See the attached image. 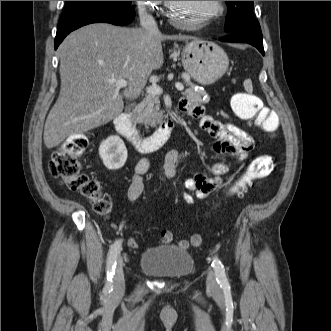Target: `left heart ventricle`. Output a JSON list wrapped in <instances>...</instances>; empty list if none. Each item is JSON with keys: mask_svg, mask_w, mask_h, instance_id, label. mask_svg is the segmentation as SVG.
I'll return each instance as SVG.
<instances>
[{"mask_svg": "<svg viewBox=\"0 0 331 331\" xmlns=\"http://www.w3.org/2000/svg\"><path fill=\"white\" fill-rule=\"evenodd\" d=\"M173 15L182 22L196 23L212 14L216 8V1H173Z\"/></svg>", "mask_w": 331, "mask_h": 331, "instance_id": "obj_1", "label": "left heart ventricle"}]
</instances>
